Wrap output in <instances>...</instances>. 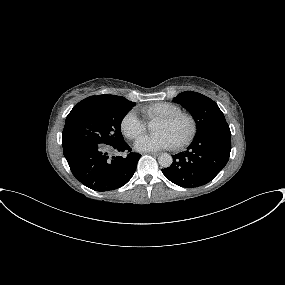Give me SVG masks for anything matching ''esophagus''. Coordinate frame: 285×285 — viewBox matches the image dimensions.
Returning a JSON list of instances; mask_svg holds the SVG:
<instances>
[{
    "instance_id": "obj_1",
    "label": "esophagus",
    "mask_w": 285,
    "mask_h": 285,
    "mask_svg": "<svg viewBox=\"0 0 285 285\" xmlns=\"http://www.w3.org/2000/svg\"><path fill=\"white\" fill-rule=\"evenodd\" d=\"M147 154L153 155V156H158V155H160V153H158V152H148Z\"/></svg>"
}]
</instances>
